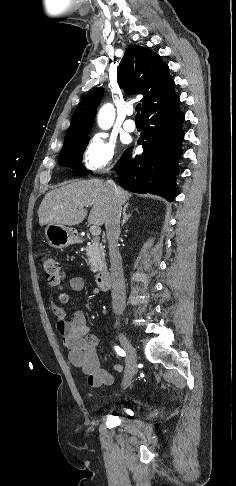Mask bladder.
I'll return each instance as SVG.
<instances>
[{
    "label": "bladder",
    "instance_id": "bladder-1",
    "mask_svg": "<svg viewBox=\"0 0 236 486\" xmlns=\"http://www.w3.org/2000/svg\"><path fill=\"white\" fill-rule=\"evenodd\" d=\"M119 410H120V411H123V412H127V410H128V409H127V408H125V407H121V408H119Z\"/></svg>",
    "mask_w": 236,
    "mask_h": 486
}]
</instances>
